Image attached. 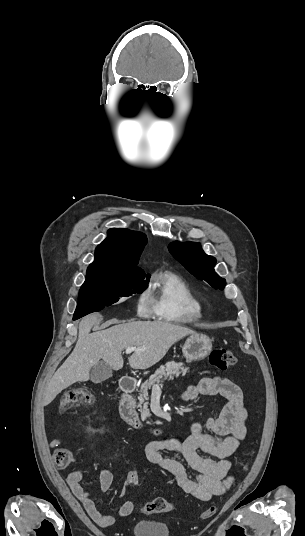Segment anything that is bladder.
Masks as SVG:
<instances>
[{"label":"bladder","mask_w":305,"mask_h":536,"mask_svg":"<svg viewBox=\"0 0 305 536\" xmlns=\"http://www.w3.org/2000/svg\"><path fill=\"white\" fill-rule=\"evenodd\" d=\"M133 536H172V528L167 522L139 519L132 525Z\"/></svg>","instance_id":"31cf9c89"}]
</instances>
